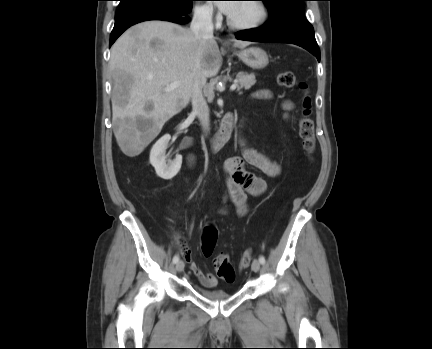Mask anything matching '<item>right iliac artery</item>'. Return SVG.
Segmentation results:
<instances>
[{"instance_id": "82829eb1", "label": "right iliac artery", "mask_w": 432, "mask_h": 349, "mask_svg": "<svg viewBox=\"0 0 432 349\" xmlns=\"http://www.w3.org/2000/svg\"><path fill=\"white\" fill-rule=\"evenodd\" d=\"M179 261V256L178 255H175L174 257H173V263H177Z\"/></svg>"}]
</instances>
